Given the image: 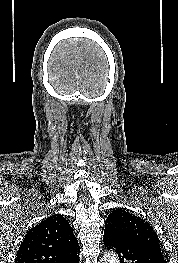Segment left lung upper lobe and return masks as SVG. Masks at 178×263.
I'll return each mask as SVG.
<instances>
[{
  "label": "left lung upper lobe",
  "instance_id": "left-lung-upper-lobe-1",
  "mask_svg": "<svg viewBox=\"0 0 178 263\" xmlns=\"http://www.w3.org/2000/svg\"><path fill=\"white\" fill-rule=\"evenodd\" d=\"M105 223H111L121 230L135 236L143 237L160 245V240L151 225L142 218L127 212L124 209H115L106 219Z\"/></svg>",
  "mask_w": 178,
  "mask_h": 263
}]
</instances>
